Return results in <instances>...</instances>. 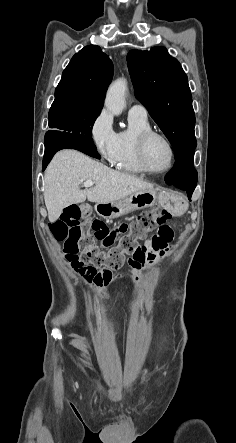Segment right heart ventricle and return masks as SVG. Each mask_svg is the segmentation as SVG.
<instances>
[{
	"label": "right heart ventricle",
	"mask_w": 236,
	"mask_h": 443,
	"mask_svg": "<svg viewBox=\"0 0 236 443\" xmlns=\"http://www.w3.org/2000/svg\"><path fill=\"white\" fill-rule=\"evenodd\" d=\"M129 125L117 134V155L114 166L121 171L133 174H142L136 158V138L144 130L151 129L147 118L129 115Z\"/></svg>",
	"instance_id": "obj_1"
}]
</instances>
